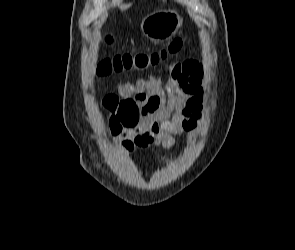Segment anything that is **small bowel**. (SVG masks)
<instances>
[{
  "label": "small bowel",
  "instance_id": "obj_1",
  "mask_svg": "<svg viewBox=\"0 0 295 250\" xmlns=\"http://www.w3.org/2000/svg\"><path fill=\"white\" fill-rule=\"evenodd\" d=\"M168 80L150 75L135 83L119 84L112 95L132 98L143 112L139 124L125 129L115 140L123 151L150 145L171 149L174 136L186 133L193 142L203 119L204 68L196 60L171 62Z\"/></svg>",
  "mask_w": 295,
  "mask_h": 250
}]
</instances>
